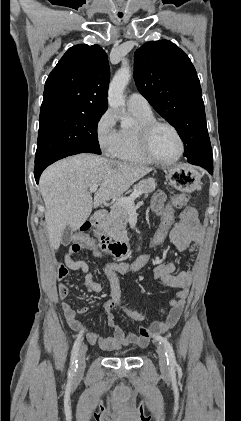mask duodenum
<instances>
[{
	"label": "duodenum",
	"mask_w": 241,
	"mask_h": 421,
	"mask_svg": "<svg viewBox=\"0 0 241 421\" xmlns=\"http://www.w3.org/2000/svg\"><path fill=\"white\" fill-rule=\"evenodd\" d=\"M108 212L106 210L96 211L91 221L95 227V233L99 241L100 248H112L114 256H123L129 251V245L126 241L121 239H113L103 230V222L107 217Z\"/></svg>",
	"instance_id": "1"
}]
</instances>
